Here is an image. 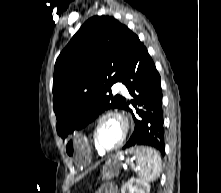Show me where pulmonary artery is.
<instances>
[{"instance_id":"e3ab8cb5","label":"pulmonary artery","mask_w":221,"mask_h":193,"mask_svg":"<svg viewBox=\"0 0 221 193\" xmlns=\"http://www.w3.org/2000/svg\"><path fill=\"white\" fill-rule=\"evenodd\" d=\"M115 90H120L124 95H128V91L126 89V87L121 83V82H117L114 86Z\"/></svg>"}]
</instances>
